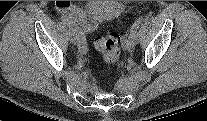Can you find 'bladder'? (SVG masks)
Wrapping results in <instances>:
<instances>
[{"instance_id": "31cf9c89", "label": "bladder", "mask_w": 207, "mask_h": 121, "mask_svg": "<svg viewBox=\"0 0 207 121\" xmlns=\"http://www.w3.org/2000/svg\"><path fill=\"white\" fill-rule=\"evenodd\" d=\"M88 12L95 22L109 21L121 14L122 5L117 1H90Z\"/></svg>"}]
</instances>
